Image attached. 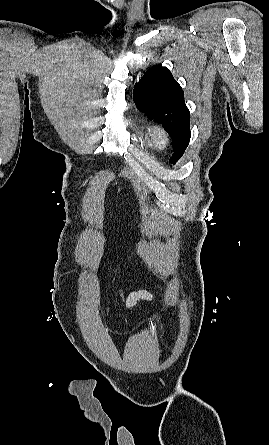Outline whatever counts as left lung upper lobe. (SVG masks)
Returning <instances> with one entry per match:
<instances>
[{
    "label": "left lung upper lobe",
    "mask_w": 269,
    "mask_h": 445,
    "mask_svg": "<svg viewBox=\"0 0 269 445\" xmlns=\"http://www.w3.org/2000/svg\"><path fill=\"white\" fill-rule=\"evenodd\" d=\"M139 110L162 124L172 138L174 153L170 162L182 157L190 141V112L184 102V92L171 72L162 66L149 69L136 83L133 91Z\"/></svg>",
    "instance_id": "left-lung-upper-lobe-1"
}]
</instances>
